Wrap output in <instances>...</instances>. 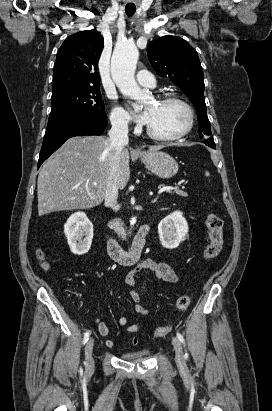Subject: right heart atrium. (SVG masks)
<instances>
[{
	"instance_id": "right-heart-atrium-1",
	"label": "right heart atrium",
	"mask_w": 272,
	"mask_h": 411,
	"mask_svg": "<svg viewBox=\"0 0 272 411\" xmlns=\"http://www.w3.org/2000/svg\"><path fill=\"white\" fill-rule=\"evenodd\" d=\"M110 121L115 128L127 129L130 123V117L122 107L115 106L111 110Z\"/></svg>"
}]
</instances>
